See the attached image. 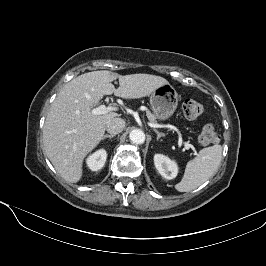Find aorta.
Segmentation results:
<instances>
[{
  "mask_svg": "<svg viewBox=\"0 0 266 266\" xmlns=\"http://www.w3.org/2000/svg\"><path fill=\"white\" fill-rule=\"evenodd\" d=\"M130 140L135 144H143L145 142V134L140 129H134L129 134Z\"/></svg>",
  "mask_w": 266,
  "mask_h": 266,
  "instance_id": "762f6f07",
  "label": "aorta"
}]
</instances>
